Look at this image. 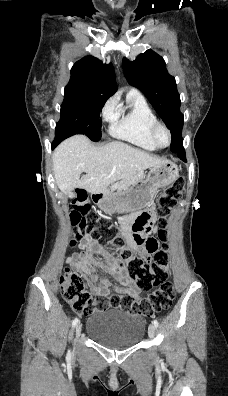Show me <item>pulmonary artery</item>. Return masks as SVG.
Wrapping results in <instances>:
<instances>
[{"label":"pulmonary artery","instance_id":"obj_1","mask_svg":"<svg viewBox=\"0 0 228 396\" xmlns=\"http://www.w3.org/2000/svg\"><path fill=\"white\" fill-rule=\"evenodd\" d=\"M132 92H137L136 90H132ZM138 93V92H137Z\"/></svg>","mask_w":228,"mask_h":396}]
</instances>
